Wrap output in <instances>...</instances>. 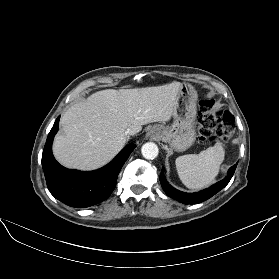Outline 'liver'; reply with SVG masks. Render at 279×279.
<instances>
[{
	"label": "liver",
	"mask_w": 279,
	"mask_h": 279,
	"mask_svg": "<svg viewBox=\"0 0 279 279\" xmlns=\"http://www.w3.org/2000/svg\"><path fill=\"white\" fill-rule=\"evenodd\" d=\"M180 82L137 89H106L71 106L62 116L63 133L53 142L56 160L67 168L94 170L125 145L126 131L167 122L173 115Z\"/></svg>",
	"instance_id": "6515ba94"
}]
</instances>
